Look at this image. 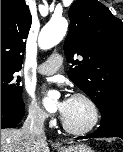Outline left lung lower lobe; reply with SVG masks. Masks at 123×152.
I'll return each instance as SVG.
<instances>
[{
    "mask_svg": "<svg viewBox=\"0 0 123 152\" xmlns=\"http://www.w3.org/2000/svg\"><path fill=\"white\" fill-rule=\"evenodd\" d=\"M100 127L92 134L76 139L119 137L123 139V102L107 105L102 111Z\"/></svg>",
    "mask_w": 123,
    "mask_h": 152,
    "instance_id": "obj_1",
    "label": "left lung lower lobe"
}]
</instances>
